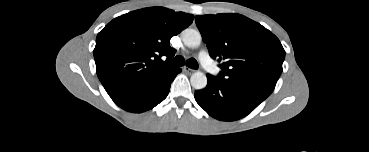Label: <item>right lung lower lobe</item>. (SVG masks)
<instances>
[{"label": "right lung lower lobe", "mask_w": 369, "mask_h": 152, "mask_svg": "<svg viewBox=\"0 0 369 152\" xmlns=\"http://www.w3.org/2000/svg\"><path fill=\"white\" fill-rule=\"evenodd\" d=\"M180 68L172 70L149 81L137 84L121 93L111 96L112 100L122 109L141 113L152 109L163 101L170 90V85Z\"/></svg>", "instance_id": "right-lung-lower-lobe-1"}]
</instances>
